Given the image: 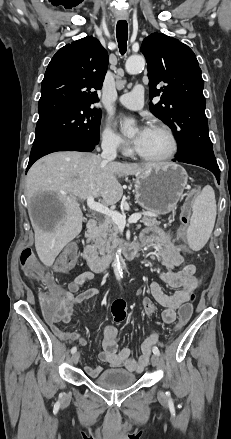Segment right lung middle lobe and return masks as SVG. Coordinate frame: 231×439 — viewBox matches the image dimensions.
Listing matches in <instances>:
<instances>
[{"instance_id": "right-lung-middle-lobe-1", "label": "right lung middle lobe", "mask_w": 231, "mask_h": 439, "mask_svg": "<svg viewBox=\"0 0 231 439\" xmlns=\"http://www.w3.org/2000/svg\"><path fill=\"white\" fill-rule=\"evenodd\" d=\"M100 120V110L90 106L62 109L39 117L33 146L59 140L98 144Z\"/></svg>"}]
</instances>
